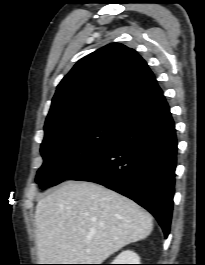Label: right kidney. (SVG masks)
<instances>
[{
  "label": "right kidney",
  "instance_id": "1",
  "mask_svg": "<svg viewBox=\"0 0 205 265\" xmlns=\"http://www.w3.org/2000/svg\"><path fill=\"white\" fill-rule=\"evenodd\" d=\"M112 264H140V257L133 251L121 252Z\"/></svg>",
  "mask_w": 205,
  "mask_h": 265
}]
</instances>
